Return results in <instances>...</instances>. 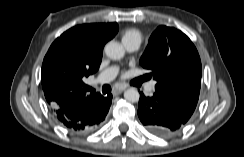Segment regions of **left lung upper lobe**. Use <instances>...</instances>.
I'll return each mask as SVG.
<instances>
[{
	"label": "left lung upper lobe",
	"mask_w": 244,
	"mask_h": 157,
	"mask_svg": "<svg viewBox=\"0 0 244 157\" xmlns=\"http://www.w3.org/2000/svg\"><path fill=\"white\" fill-rule=\"evenodd\" d=\"M140 65L151 70L155 91L185 117L193 114L200 93L201 61L196 47L180 30L159 26L151 35Z\"/></svg>",
	"instance_id": "1"
}]
</instances>
